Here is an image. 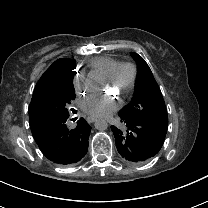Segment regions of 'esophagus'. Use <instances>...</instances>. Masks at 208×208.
Listing matches in <instances>:
<instances>
[{
    "label": "esophagus",
    "mask_w": 208,
    "mask_h": 208,
    "mask_svg": "<svg viewBox=\"0 0 208 208\" xmlns=\"http://www.w3.org/2000/svg\"><path fill=\"white\" fill-rule=\"evenodd\" d=\"M86 120L88 123H93L97 120V118L93 116H88Z\"/></svg>",
    "instance_id": "esophagus-1"
}]
</instances>
